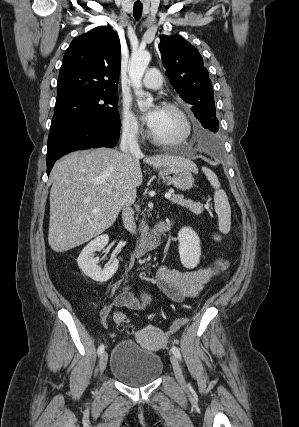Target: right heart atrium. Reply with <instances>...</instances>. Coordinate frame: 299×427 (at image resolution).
I'll list each match as a JSON object with an SVG mask.
<instances>
[{"mask_svg":"<svg viewBox=\"0 0 299 427\" xmlns=\"http://www.w3.org/2000/svg\"><path fill=\"white\" fill-rule=\"evenodd\" d=\"M121 130L125 136L132 139L138 138L142 134L141 126L126 102L122 104L121 108Z\"/></svg>","mask_w":299,"mask_h":427,"instance_id":"1","label":"right heart atrium"}]
</instances>
